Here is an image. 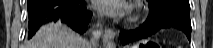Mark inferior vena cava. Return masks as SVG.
<instances>
[{
  "instance_id": "obj_1",
  "label": "inferior vena cava",
  "mask_w": 213,
  "mask_h": 48,
  "mask_svg": "<svg viewBox=\"0 0 213 48\" xmlns=\"http://www.w3.org/2000/svg\"><path fill=\"white\" fill-rule=\"evenodd\" d=\"M99 26L100 25L98 24L97 27H99ZM101 34H102L101 29H95V30L92 31L90 41H86L88 48H96L97 47V43L100 39Z\"/></svg>"
}]
</instances>
